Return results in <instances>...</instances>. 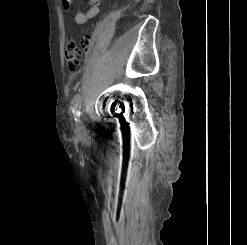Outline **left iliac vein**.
<instances>
[{"label":"left iliac vein","mask_w":247,"mask_h":245,"mask_svg":"<svg viewBox=\"0 0 247 245\" xmlns=\"http://www.w3.org/2000/svg\"><path fill=\"white\" fill-rule=\"evenodd\" d=\"M83 129H84V124L81 120H79L77 123V130L82 131Z\"/></svg>","instance_id":"obj_1"}]
</instances>
